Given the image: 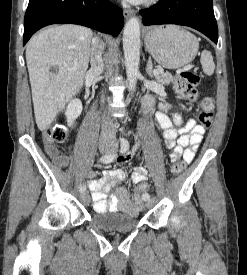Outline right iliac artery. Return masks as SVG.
I'll return each instance as SVG.
<instances>
[{
  "label": "right iliac artery",
  "instance_id": "right-iliac-artery-1",
  "mask_svg": "<svg viewBox=\"0 0 247 275\" xmlns=\"http://www.w3.org/2000/svg\"><path fill=\"white\" fill-rule=\"evenodd\" d=\"M115 158H116V154H105V155H103V156L100 158V161H101L102 163H106V164H107V163L112 162ZM79 191H80L81 193L85 192V191H86V185H85V184L80 185Z\"/></svg>",
  "mask_w": 247,
  "mask_h": 275
}]
</instances>
